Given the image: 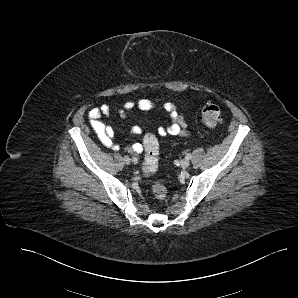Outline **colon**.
<instances>
[{"instance_id":"obj_1","label":"colon","mask_w":298,"mask_h":298,"mask_svg":"<svg viewBox=\"0 0 298 298\" xmlns=\"http://www.w3.org/2000/svg\"><path fill=\"white\" fill-rule=\"evenodd\" d=\"M200 114L202 122L207 127H215L221 122V110L214 103H205L201 107ZM143 146L145 154L141 170L144 175L149 176L155 173L159 167V142L157 137L152 133L146 134L143 139ZM166 192L165 186L161 183H155L152 186V193L159 200L165 198Z\"/></svg>"}]
</instances>
